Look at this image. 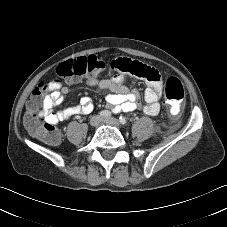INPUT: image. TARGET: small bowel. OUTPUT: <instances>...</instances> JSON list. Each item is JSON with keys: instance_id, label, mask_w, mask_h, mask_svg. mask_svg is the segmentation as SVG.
Returning <instances> with one entry per match:
<instances>
[{"instance_id": "1", "label": "small bowel", "mask_w": 227, "mask_h": 227, "mask_svg": "<svg viewBox=\"0 0 227 227\" xmlns=\"http://www.w3.org/2000/svg\"><path fill=\"white\" fill-rule=\"evenodd\" d=\"M129 59H116L112 62V67L118 73L111 79H97L94 76L86 80V84L91 87H98L105 92V99L110 109L118 113L120 111L130 112L140 108L138 95L129 90L125 85L126 74L130 72L126 69L131 64ZM157 73V72H156ZM147 87L143 92V98L146 102L144 112L148 115H157L160 111V98L162 94V81L157 73L155 80L144 78ZM73 81L72 83H74ZM70 91L68 86H62L49 94L45 95L43 108L39 114L43 117L46 124L58 125L72 116L83 114L87 115L93 111L94 105L90 97L85 96L80 103L75 106L67 107L61 111H55L54 108L61 104L65 95Z\"/></svg>"}]
</instances>
